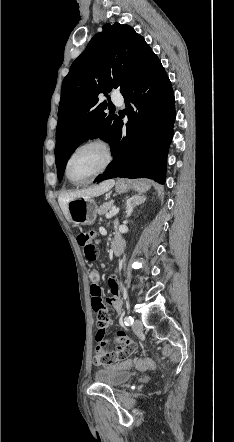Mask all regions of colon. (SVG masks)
Returning a JSON list of instances; mask_svg holds the SVG:
<instances>
[{
	"label": "colon",
	"mask_w": 234,
	"mask_h": 442,
	"mask_svg": "<svg viewBox=\"0 0 234 442\" xmlns=\"http://www.w3.org/2000/svg\"><path fill=\"white\" fill-rule=\"evenodd\" d=\"M93 238V233L90 231H81L77 235V241L80 246L83 247L84 255L89 261H94L97 257V247L92 244L91 240ZM99 272L97 270H92L90 272L91 285V303L92 308L96 314H107V299H104L101 287L98 285L99 282ZM132 342L130 340H127ZM126 342V341H125ZM118 348V347H116ZM119 366L122 370L127 371L129 368L136 367L138 369H153L155 368V362L152 357L143 356L141 359L133 360L126 359L119 362ZM103 368H106L103 365ZM113 368V365L110 366Z\"/></svg>",
	"instance_id": "5ec220e1"
}]
</instances>
